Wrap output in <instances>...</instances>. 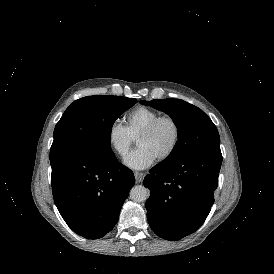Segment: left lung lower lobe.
<instances>
[{"mask_svg": "<svg viewBox=\"0 0 274 274\" xmlns=\"http://www.w3.org/2000/svg\"><path fill=\"white\" fill-rule=\"evenodd\" d=\"M221 163V151H202L150 170L143 182L151 193L147 219L158 236L176 241L203 224L214 203Z\"/></svg>", "mask_w": 274, "mask_h": 274, "instance_id": "left-lung-lower-lobe-1", "label": "left lung lower lobe"}]
</instances>
